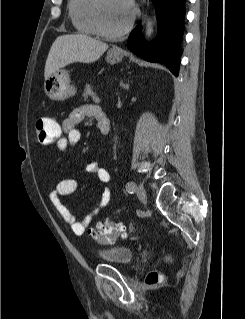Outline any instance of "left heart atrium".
Segmentation results:
<instances>
[{
	"instance_id": "1",
	"label": "left heart atrium",
	"mask_w": 245,
	"mask_h": 319,
	"mask_svg": "<svg viewBox=\"0 0 245 319\" xmlns=\"http://www.w3.org/2000/svg\"><path fill=\"white\" fill-rule=\"evenodd\" d=\"M123 7L127 10H132L133 7V1L132 0H119Z\"/></svg>"
}]
</instances>
